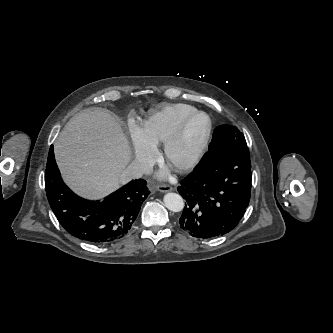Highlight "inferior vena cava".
Here are the masks:
<instances>
[{"label": "inferior vena cava", "mask_w": 333, "mask_h": 333, "mask_svg": "<svg viewBox=\"0 0 333 333\" xmlns=\"http://www.w3.org/2000/svg\"><path fill=\"white\" fill-rule=\"evenodd\" d=\"M150 166L144 162L135 160L122 172L120 176L121 182H127L132 179L141 178L143 174L148 173Z\"/></svg>", "instance_id": "602c4592"}]
</instances>
